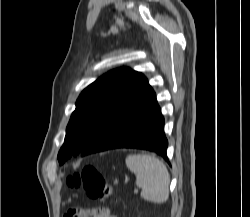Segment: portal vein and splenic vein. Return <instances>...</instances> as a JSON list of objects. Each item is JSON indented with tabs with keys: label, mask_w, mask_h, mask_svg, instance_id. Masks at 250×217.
<instances>
[{
	"label": "portal vein and splenic vein",
	"mask_w": 250,
	"mask_h": 217,
	"mask_svg": "<svg viewBox=\"0 0 250 217\" xmlns=\"http://www.w3.org/2000/svg\"><path fill=\"white\" fill-rule=\"evenodd\" d=\"M134 192H135V193H137V192H138V189H137V188H135V189H134Z\"/></svg>",
	"instance_id": "obj_1"
}]
</instances>
